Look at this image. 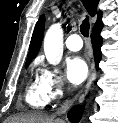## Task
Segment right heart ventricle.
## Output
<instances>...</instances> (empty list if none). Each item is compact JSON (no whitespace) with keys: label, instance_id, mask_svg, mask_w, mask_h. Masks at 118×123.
Wrapping results in <instances>:
<instances>
[{"label":"right heart ventricle","instance_id":"1","mask_svg":"<svg viewBox=\"0 0 118 123\" xmlns=\"http://www.w3.org/2000/svg\"><path fill=\"white\" fill-rule=\"evenodd\" d=\"M26 101L30 106L37 109H43L49 103L38 77L28 84Z\"/></svg>","mask_w":118,"mask_h":123}]
</instances>
